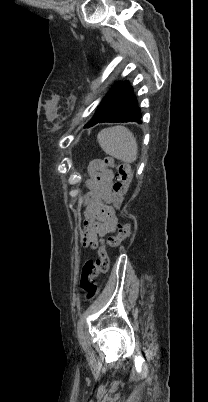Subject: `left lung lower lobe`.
Here are the masks:
<instances>
[{
    "label": "left lung lower lobe",
    "mask_w": 208,
    "mask_h": 402,
    "mask_svg": "<svg viewBox=\"0 0 208 402\" xmlns=\"http://www.w3.org/2000/svg\"><path fill=\"white\" fill-rule=\"evenodd\" d=\"M103 122H137L142 123L141 113L137 106L136 97L132 88L124 96V98L113 106L102 118L93 124L86 126L91 127L97 123Z\"/></svg>",
    "instance_id": "left-lung-lower-lobe-1"
}]
</instances>
